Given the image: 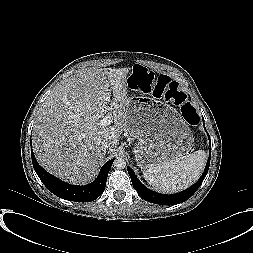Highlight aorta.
I'll return each mask as SVG.
<instances>
[{
  "label": "aorta",
  "instance_id": "1",
  "mask_svg": "<svg viewBox=\"0 0 253 253\" xmlns=\"http://www.w3.org/2000/svg\"><path fill=\"white\" fill-rule=\"evenodd\" d=\"M113 165L116 169H124L126 167V160L118 157L114 160Z\"/></svg>",
  "mask_w": 253,
  "mask_h": 253
}]
</instances>
